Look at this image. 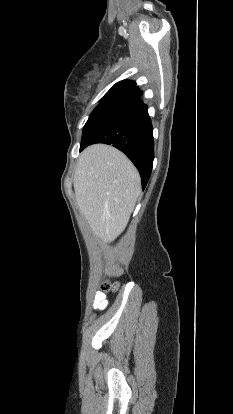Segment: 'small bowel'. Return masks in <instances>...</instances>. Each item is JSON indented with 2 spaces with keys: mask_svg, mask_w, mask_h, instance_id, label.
<instances>
[{
  "mask_svg": "<svg viewBox=\"0 0 233 414\" xmlns=\"http://www.w3.org/2000/svg\"><path fill=\"white\" fill-rule=\"evenodd\" d=\"M108 301L106 299V295L102 292H97L94 295V300H93V308L96 311H102L107 307Z\"/></svg>",
  "mask_w": 233,
  "mask_h": 414,
  "instance_id": "small-bowel-1",
  "label": "small bowel"
}]
</instances>
